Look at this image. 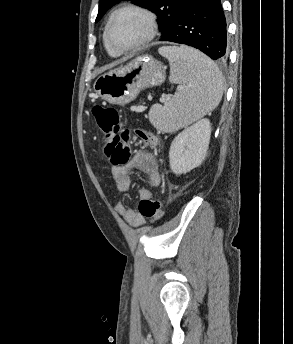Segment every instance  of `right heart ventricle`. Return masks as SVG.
<instances>
[{
    "label": "right heart ventricle",
    "instance_id": "e07e8e85",
    "mask_svg": "<svg viewBox=\"0 0 293 344\" xmlns=\"http://www.w3.org/2000/svg\"><path fill=\"white\" fill-rule=\"evenodd\" d=\"M105 47H106V50H107V52L109 53V55H111L112 57H117V56H119V54L113 52V51L106 45V43H105Z\"/></svg>",
    "mask_w": 293,
    "mask_h": 344
}]
</instances>
